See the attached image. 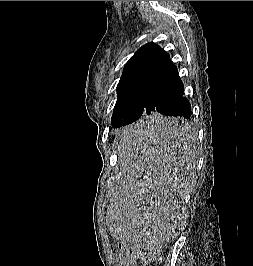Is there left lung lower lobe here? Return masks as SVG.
Segmentation results:
<instances>
[{
	"instance_id": "left-lung-lower-lobe-1",
	"label": "left lung lower lobe",
	"mask_w": 253,
	"mask_h": 266,
	"mask_svg": "<svg viewBox=\"0 0 253 266\" xmlns=\"http://www.w3.org/2000/svg\"><path fill=\"white\" fill-rule=\"evenodd\" d=\"M183 94V83L177 68L166 54L147 92L144 115L149 117L138 122V126L162 137L185 131L182 118H190L192 112L191 105ZM158 113L178 118L162 120L157 117Z\"/></svg>"
}]
</instances>
